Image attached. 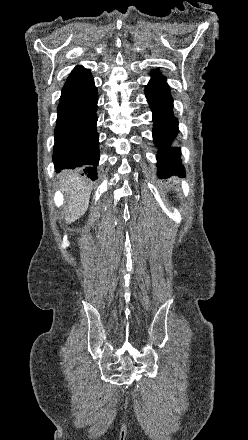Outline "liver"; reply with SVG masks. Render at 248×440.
I'll return each mask as SVG.
<instances>
[{
    "label": "liver",
    "mask_w": 248,
    "mask_h": 440,
    "mask_svg": "<svg viewBox=\"0 0 248 440\" xmlns=\"http://www.w3.org/2000/svg\"><path fill=\"white\" fill-rule=\"evenodd\" d=\"M61 188L68 199L65 221L71 223L83 215L88 208L92 185L78 173L64 171Z\"/></svg>",
    "instance_id": "liver-1"
}]
</instances>
